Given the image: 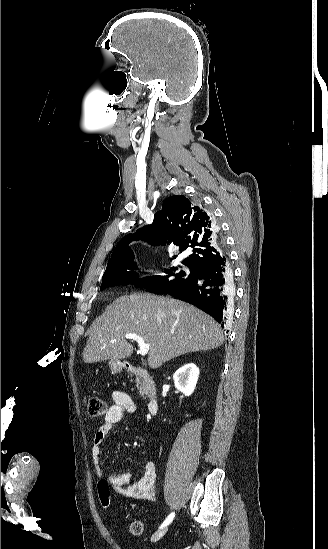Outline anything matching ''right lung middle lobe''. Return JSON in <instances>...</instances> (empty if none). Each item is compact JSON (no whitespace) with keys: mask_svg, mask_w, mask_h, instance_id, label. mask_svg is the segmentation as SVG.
Listing matches in <instances>:
<instances>
[{"mask_svg":"<svg viewBox=\"0 0 328 549\" xmlns=\"http://www.w3.org/2000/svg\"><path fill=\"white\" fill-rule=\"evenodd\" d=\"M137 268L134 260L121 261L110 268H107L103 274L100 290L108 286L118 284L134 283L135 286L149 289L154 293H161L175 286L186 283L194 275V269L186 273L176 267L165 269L164 274L138 279V274L133 272Z\"/></svg>","mask_w":328,"mask_h":549,"instance_id":"obj_1","label":"right lung middle lobe"}]
</instances>
